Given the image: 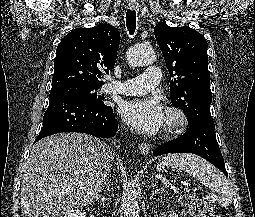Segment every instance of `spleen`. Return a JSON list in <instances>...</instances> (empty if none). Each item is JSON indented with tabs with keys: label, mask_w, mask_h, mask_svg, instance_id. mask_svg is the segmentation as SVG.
<instances>
[{
	"label": "spleen",
	"mask_w": 255,
	"mask_h": 217,
	"mask_svg": "<svg viewBox=\"0 0 255 217\" xmlns=\"http://www.w3.org/2000/svg\"><path fill=\"white\" fill-rule=\"evenodd\" d=\"M165 166L183 168L218 195L221 207H227L231 203L233 191L230 182L205 159L193 154H168L159 161L157 170L162 171Z\"/></svg>",
	"instance_id": "1"
}]
</instances>
